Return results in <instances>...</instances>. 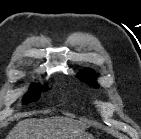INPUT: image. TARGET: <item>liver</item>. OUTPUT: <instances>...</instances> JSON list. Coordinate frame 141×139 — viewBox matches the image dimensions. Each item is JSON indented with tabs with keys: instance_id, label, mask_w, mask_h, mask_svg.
I'll use <instances>...</instances> for the list:
<instances>
[{
	"instance_id": "obj_1",
	"label": "liver",
	"mask_w": 141,
	"mask_h": 139,
	"mask_svg": "<svg viewBox=\"0 0 141 139\" xmlns=\"http://www.w3.org/2000/svg\"><path fill=\"white\" fill-rule=\"evenodd\" d=\"M86 125L64 116L19 121L6 139H79Z\"/></svg>"
}]
</instances>
